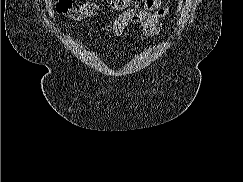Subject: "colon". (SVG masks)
<instances>
[{
	"label": "colon",
	"mask_w": 243,
	"mask_h": 182,
	"mask_svg": "<svg viewBox=\"0 0 243 182\" xmlns=\"http://www.w3.org/2000/svg\"><path fill=\"white\" fill-rule=\"evenodd\" d=\"M134 0H110V7L122 10L133 3ZM98 10L95 2L74 3L73 0H56V11L73 20H81L93 16Z\"/></svg>",
	"instance_id": "1"
}]
</instances>
